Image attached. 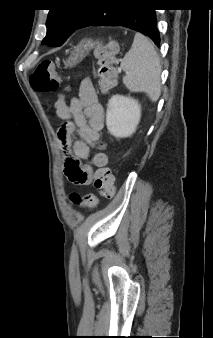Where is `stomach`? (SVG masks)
Masks as SVG:
<instances>
[{"mask_svg":"<svg viewBox=\"0 0 213 338\" xmlns=\"http://www.w3.org/2000/svg\"><path fill=\"white\" fill-rule=\"evenodd\" d=\"M90 50H91L90 40L80 43L71 53L69 58L66 60L65 65L67 67L75 66L84 59V57L89 53Z\"/></svg>","mask_w":213,"mask_h":338,"instance_id":"stomach-1","label":"stomach"}]
</instances>
